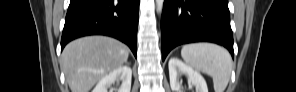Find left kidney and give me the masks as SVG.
<instances>
[{
	"mask_svg": "<svg viewBox=\"0 0 296 92\" xmlns=\"http://www.w3.org/2000/svg\"><path fill=\"white\" fill-rule=\"evenodd\" d=\"M168 67L170 86L173 92H182L181 82H179V77L181 75H185L187 77L188 84H192L195 87L196 92H208L206 81L202 75L180 59L172 57L169 60Z\"/></svg>",
	"mask_w": 296,
	"mask_h": 92,
	"instance_id": "1",
	"label": "left kidney"
}]
</instances>
